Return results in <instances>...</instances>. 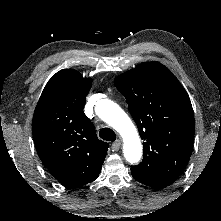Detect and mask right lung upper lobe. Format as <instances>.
Wrapping results in <instances>:
<instances>
[{
    "mask_svg": "<svg viewBox=\"0 0 221 221\" xmlns=\"http://www.w3.org/2000/svg\"><path fill=\"white\" fill-rule=\"evenodd\" d=\"M92 80L74 69L57 72L46 84L36 106L32 133L43 164L65 186L94 181L109 144L97 138L84 114Z\"/></svg>",
    "mask_w": 221,
    "mask_h": 221,
    "instance_id": "right-lung-upper-lobe-1",
    "label": "right lung upper lobe"
}]
</instances>
